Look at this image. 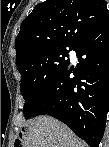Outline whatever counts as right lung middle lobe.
<instances>
[{
	"mask_svg": "<svg viewBox=\"0 0 109 147\" xmlns=\"http://www.w3.org/2000/svg\"><path fill=\"white\" fill-rule=\"evenodd\" d=\"M66 48L47 50L21 67V93L25 99L24 116L34 117L45 95L69 63Z\"/></svg>",
	"mask_w": 109,
	"mask_h": 147,
	"instance_id": "dd1d6c3e",
	"label": "right lung middle lobe"
}]
</instances>
